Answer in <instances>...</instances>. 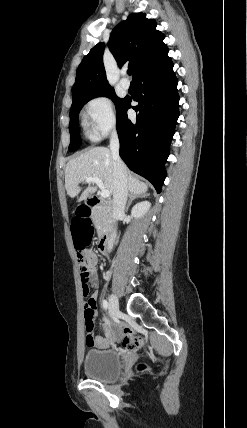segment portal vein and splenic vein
<instances>
[{"instance_id":"18ae733b","label":"portal vein and splenic vein","mask_w":247,"mask_h":428,"mask_svg":"<svg viewBox=\"0 0 247 428\" xmlns=\"http://www.w3.org/2000/svg\"><path fill=\"white\" fill-rule=\"evenodd\" d=\"M86 182L96 183V185L101 189V193H100L101 197L107 198L110 196V192L107 189H105L102 180L99 179L98 177H87Z\"/></svg>"}]
</instances>
